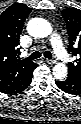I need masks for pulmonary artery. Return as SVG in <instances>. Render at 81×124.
<instances>
[{
	"label": "pulmonary artery",
	"instance_id": "pulmonary-artery-1",
	"mask_svg": "<svg viewBox=\"0 0 81 124\" xmlns=\"http://www.w3.org/2000/svg\"><path fill=\"white\" fill-rule=\"evenodd\" d=\"M50 41L58 59L62 60L63 62L69 61L70 57L68 53L64 50L59 35L57 33L53 34L50 38Z\"/></svg>",
	"mask_w": 81,
	"mask_h": 124
}]
</instances>
